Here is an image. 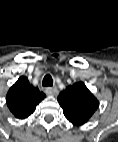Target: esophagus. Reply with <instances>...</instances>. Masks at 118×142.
I'll return each mask as SVG.
<instances>
[{
  "label": "esophagus",
  "instance_id": "esophagus-1",
  "mask_svg": "<svg viewBox=\"0 0 118 142\" xmlns=\"http://www.w3.org/2000/svg\"><path fill=\"white\" fill-rule=\"evenodd\" d=\"M45 91L51 96H56L58 94V89L56 87H47Z\"/></svg>",
  "mask_w": 118,
  "mask_h": 142
}]
</instances>
